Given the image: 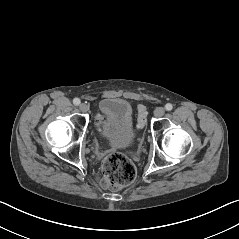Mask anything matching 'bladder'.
I'll use <instances>...</instances> for the list:
<instances>
[{"label": "bladder", "instance_id": "bladder-1", "mask_svg": "<svg viewBox=\"0 0 239 239\" xmlns=\"http://www.w3.org/2000/svg\"><path fill=\"white\" fill-rule=\"evenodd\" d=\"M100 136L114 147H128L135 140L133 110L131 104L119 97H109L99 104Z\"/></svg>", "mask_w": 239, "mask_h": 239}]
</instances>
